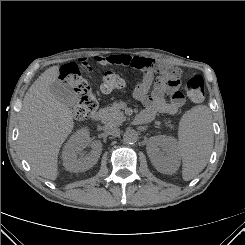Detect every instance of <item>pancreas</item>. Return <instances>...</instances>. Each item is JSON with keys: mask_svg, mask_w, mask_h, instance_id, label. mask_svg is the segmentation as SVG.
I'll list each match as a JSON object with an SVG mask.
<instances>
[{"mask_svg": "<svg viewBox=\"0 0 245 245\" xmlns=\"http://www.w3.org/2000/svg\"><path fill=\"white\" fill-rule=\"evenodd\" d=\"M100 113L102 122L108 126L120 125L125 120V116L117 103H114L110 107L101 109ZM165 124L170 125V122L167 121Z\"/></svg>", "mask_w": 245, "mask_h": 245, "instance_id": "cf45deb5", "label": "pancreas"}]
</instances>
